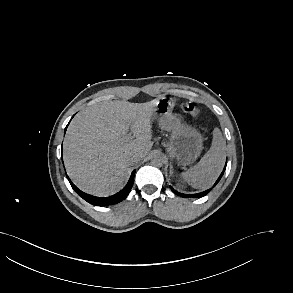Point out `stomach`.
<instances>
[{
    "instance_id": "1",
    "label": "stomach",
    "mask_w": 293,
    "mask_h": 293,
    "mask_svg": "<svg viewBox=\"0 0 293 293\" xmlns=\"http://www.w3.org/2000/svg\"><path fill=\"white\" fill-rule=\"evenodd\" d=\"M174 101L162 98L153 114L161 129L170 131L169 150L179 165H189L200 155L203 149V138L200 132L183 123L181 115L174 113Z\"/></svg>"
}]
</instances>
